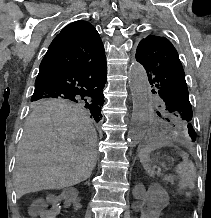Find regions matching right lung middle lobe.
I'll use <instances>...</instances> for the list:
<instances>
[{"label":"right lung middle lobe","mask_w":211,"mask_h":218,"mask_svg":"<svg viewBox=\"0 0 211 218\" xmlns=\"http://www.w3.org/2000/svg\"><path fill=\"white\" fill-rule=\"evenodd\" d=\"M34 109L79 106L90 111L91 118L99 121L102 118L101 106L104 104L103 97L97 98H64V97H39L31 98Z\"/></svg>","instance_id":"dd1d6c3e"}]
</instances>
